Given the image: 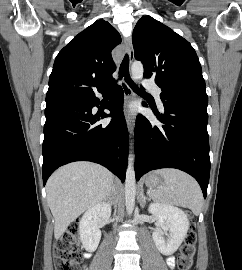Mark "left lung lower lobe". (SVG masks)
<instances>
[{"mask_svg": "<svg viewBox=\"0 0 242 270\" xmlns=\"http://www.w3.org/2000/svg\"><path fill=\"white\" fill-rule=\"evenodd\" d=\"M164 113L154 111L163 124H151L141 114L135 127L136 179L150 170L177 168L193 176L204 198L210 175L207 104H163ZM143 106L147 107L146 103Z\"/></svg>", "mask_w": 242, "mask_h": 270, "instance_id": "left-lung-lower-lobe-1", "label": "left lung lower lobe"}]
</instances>
